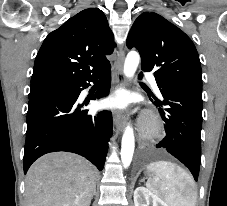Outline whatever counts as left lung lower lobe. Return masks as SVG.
Wrapping results in <instances>:
<instances>
[{"instance_id":"left-lung-lower-lobe-1","label":"left lung lower lobe","mask_w":227,"mask_h":206,"mask_svg":"<svg viewBox=\"0 0 227 206\" xmlns=\"http://www.w3.org/2000/svg\"><path fill=\"white\" fill-rule=\"evenodd\" d=\"M142 78V74L139 75ZM164 101L155 99L164 121L166 137L156 145L179 159L198 179L201 160L202 91L158 83Z\"/></svg>"}]
</instances>
